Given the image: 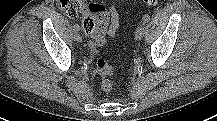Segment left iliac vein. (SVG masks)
Segmentation results:
<instances>
[{
  "instance_id": "obj_1",
  "label": "left iliac vein",
  "mask_w": 217,
  "mask_h": 121,
  "mask_svg": "<svg viewBox=\"0 0 217 121\" xmlns=\"http://www.w3.org/2000/svg\"><path fill=\"white\" fill-rule=\"evenodd\" d=\"M144 33H145V28L143 25H140L139 27H137L135 31V38L137 40H141L144 36Z\"/></svg>"
}]
</instances>
